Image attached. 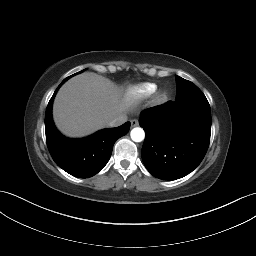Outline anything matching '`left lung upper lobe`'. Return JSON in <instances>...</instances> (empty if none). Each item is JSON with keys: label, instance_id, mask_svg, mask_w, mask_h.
Wrapping results in <instances>:
<instances>
[{"label": "left lung upper lobe", "instance_id": "left-lung-upper-lobe-1", "mask_svg": "<svg viewBox=\"0 0 256 256\" xmlns=\"http://www.w3.org/2000/svg\"><path fill=\"white\" fill-rule=\"evenodd\" d=\"M176 93L177 98L203 94L202 91L192 82L176 76Z\"/></svg>", "mask_w": 256, "mask_h": 256}]
</instances>
